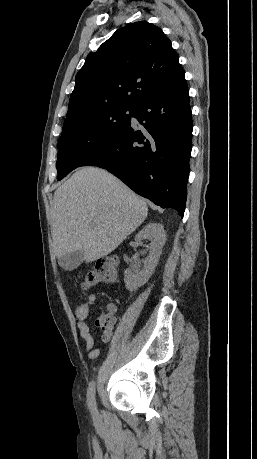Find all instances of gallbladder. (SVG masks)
I'll return each mask as SVG.
<instances>
[{
  "label": "gallbladder",
  "instance_id": "obj_1",
  "mask_svg": "<svg viewBox=\"0 0 257 459\" xmlns=\"http://www.w3.org/2000/svg\"><path fill=\"white\" fill-rule=\"evenodd\" d=\"M83 259L84 252L82 250H77L59 258V265L66 270H73L83 262Z\"/></svg>",
  "mask_w": 257,
  "mask_h": 459
}]
</instances>
